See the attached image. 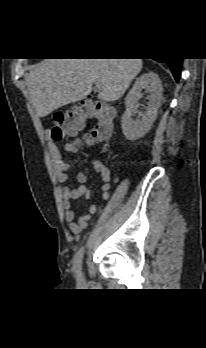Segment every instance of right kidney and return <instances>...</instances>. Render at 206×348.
I'll return each instance as SVG.
<instances>
[{
  "instance_id": "obj_1",
  "label": "right kidney",
  "mask_w": 206,
  "mask_h": 348,
  "mask_svg": "<svg viewBox=\"0 0 206 348\" xmlns=\"http://www.w3.org/2000/svg\"><path fill=\"white\" fill-rule=\"evenodd\" d=\"M149 93L146 112H139V119L134 121L132 116L138 112V100L143 96L142 91ZM162 83L154 72H147L138 77L125 98L126 110L121 118L122 132L126 139L134 141L143 137L156 119L161 106Z\"/></svg>"
}]
</instances>
